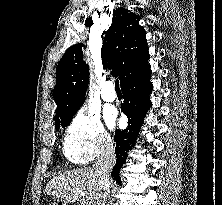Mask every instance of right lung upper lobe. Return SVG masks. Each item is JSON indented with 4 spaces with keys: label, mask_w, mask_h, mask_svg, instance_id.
<instances>
[{
    "label": "right lung upper lobe",
    "mask_w": 222,
    "mask_h": 205,
    "mask_svg": "<svg viewBox=\"0 0 222 205\" xmlns=\"http://www.w3.org/2000/svg\"><path fill=\"white\" fill-rule=\"evenodd\" d=\"M140 16L124 7L113 10L112 23L101 48L103 68L112 69L120 84L150 65L146 32ZM82 43L69 47L56 69L53 90L57 105L55 121L74 116L85 101L89 67L83 61Z\"/></svg>",
    "instance_id": "cb5924a9"
}]
</instances>
